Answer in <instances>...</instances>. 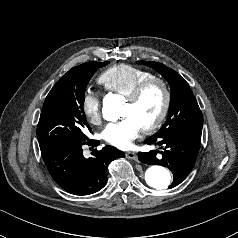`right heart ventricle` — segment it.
<instances>
[{
	"label": "right heart ventricle",
	"mask_w": 238,
	"mask_h": 238,
	"mask_svg": "<svg viewBox=\"0 0 238 238\" xmlns=\"http://www.w3.org/2000/svg\"><path fill=\"white\" fill-rule=\"evenodd\" d=\"M151 77L154 75L147 70L119 64L102 72L98 77V82L106 91L127 97L141 82Z\"/></svg>",
	"instance_id": "right-heart-ventricle-1"
}]
</instances>
